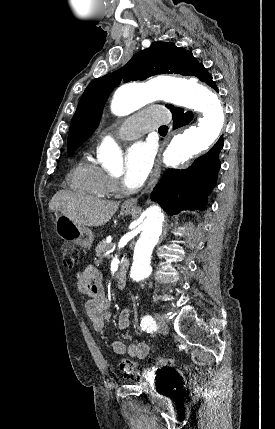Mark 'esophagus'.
<instances>
[{
	"label": "esophagus",
	"mask_w": 275,
	"mask_h": 429,
	"mask_svg": "<svg viewBox=\"0 0 275 429\" xmlns=\"http://www.w3.org/2000/svg\"><path fill=\"white\" fill-rule=\"evenodd\" d=\"M164 145H165V143H163L162 146H161V148H160V152L158 154V158L156 160L154 169H153V171H152V173L150 175V178L148 180L147 186L143 190L142 194L149 193L154 188V186L157 183V180H158V178L160 176L161 155H162V152H163V149H164ZM138 198H139V196L125 200L124 203H123V206L130 207V208H135L137 206Z\"/></svg>",
	"instance_id": "esophagus-1"
}]
</instances>
